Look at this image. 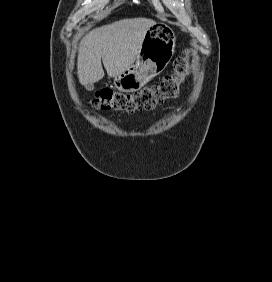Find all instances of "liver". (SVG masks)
<instances>
[{
  "mask_svg": "<svg viewBox=\"0 0 272 282\" xmlns=\"http://www.w3.org/2000/svg\"><path fill=\"white\" fill-rule=\"evenodd\" d=\"M154 24L147 18L122 19L90 31L80 42L79 82L93 86L104 77L101 58L109 77L127 70L137 59L148 28Z\"/></svg>",
  "mask_w": 272,
  "mask_h": 282,
  "instance_id": "liver-1",
  "label": "liver"
}]
</instances>
